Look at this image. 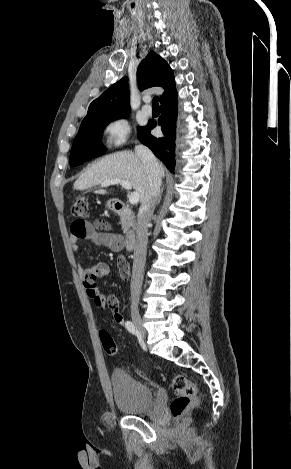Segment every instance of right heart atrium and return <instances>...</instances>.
<instances>
[{
  "label": "right heart atrium",
  "instance_id": "1",
  "mask_svg": "<svg viewBox=\"0 0 291 469\" xmlns=\"http://www.w3.org/2000/svg\"><path fill=\"white\" fill-rule=\"evenodd\" d=\"M130 132L131 128L127 119L114 118L104 126L105 143L109 148H119L127 143Z\"/></svg>",
  "mask_w": 291,
  "mask_h": 469
}]
</instances>
